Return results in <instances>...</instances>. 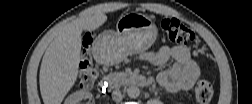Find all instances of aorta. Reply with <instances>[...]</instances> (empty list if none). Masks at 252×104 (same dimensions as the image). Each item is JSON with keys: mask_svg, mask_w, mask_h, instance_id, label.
<instances>
[{"mask_svg": "<svg viewBox=\"0 0 252 104\" xmlns=\"http://www.w3.org/2000/svg\"><path fill=\"white\" fill-rule=\"evenodd\" d=\"M127 95L130 98H133V99L138 98L139 95H140V89H139V87H137L135 85L129 86L128 89H127Z\"/></svg>", "mask_w": 252, "mask_h": 104, "instance_id": "762f6f07", "label": "aorta"}]
</instances>
